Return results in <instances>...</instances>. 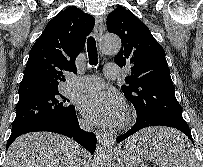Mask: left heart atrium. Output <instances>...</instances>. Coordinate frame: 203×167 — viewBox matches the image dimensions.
<instances>
[{
  "label": "left heart atrium",
  "mask_w": 203,
  "mask_h": 167,
  "mask_svg": "<svg viewBox=\"0 0 203 167\" xmlns=\"http://www.w3.org/2000/svg\"><path fill=\"white\" fill-rule=\"evenodd\" d=\"M79 108L90 122L103 127L118 124L124 114L123 100L117 94L108 91L83 96Z\"/></svg>",
  "instance_id": "left-heart-atrium-1"
}]
</instances>
